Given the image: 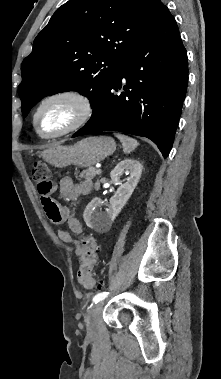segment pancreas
Instances as JSON below:
<instances>
[{
    "label": "pancreas",
    "instance_id": "1",
    "mask_svg": "<svg viewBox=\"0 0 221 379\" xmlns=\"http://www.w3.org/2000/svg\"><path fill=\"white\" fill-rule=\"evenodd\" d=\"M97 174H98V173H97L96 169L93 168V167H90V168H88V169H86V170H83L82 173L80 174V176H81L82 178H85V179H92V178H94Z\"/></svg>",
    "mask_w": 221,
    "mask_h": 379
}]
</instances>
